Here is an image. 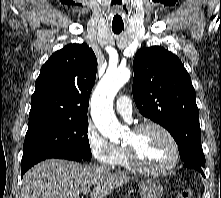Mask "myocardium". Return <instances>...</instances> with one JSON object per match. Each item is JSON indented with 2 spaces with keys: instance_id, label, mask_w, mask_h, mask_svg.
<instances>
[{
  "instance_id": "f54148a6",
  "label": "myocardium",
  "mask_w": 221,
  "mask_h": 198,
  "mask_svg": "<svg viewBox=\"0 0 221 198\" xmlns=\"http://www.w3.org/2000/svg\"><path fill=\"white\" fill-rule=\"evenodd\" d=\"M148 128H155L161 131L169 139L173 149V155L169 163L159 168L147 167L139 161L135 149L132 146L124 145L123 148L125 150L128 163L134 170L149 175H163L171 171L178 164L180 159V147L178 141L176 140L175 136L171 133V131L158 122L147 121L140 123L136 125L131 132L137 135Z\"/></svg>"
}]
</instances>
